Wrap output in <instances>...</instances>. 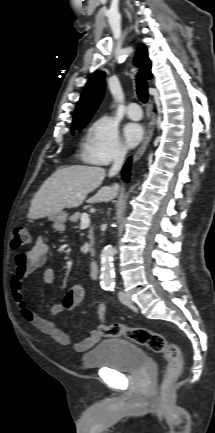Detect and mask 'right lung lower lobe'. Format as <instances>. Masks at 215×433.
Here are the masks:
<instances>
[{
	"mask_svg": "<svg viewBox=\"0 0 215 433\" xmlns=\"http://www.w3.org/2000/svg\"><path fill=\"white\" fill-rule=\"evenodd\" d=\"M131 162V158H129L127 164L124 166L123 168V179L125 182L129 181V170H130V165L129 163Z\"/></svg>",
	"mask_w": 215,
	"mask_h": 433,
	"instance_id": "1",
	"label": "right lung lower lobe"
}]
</instances>
